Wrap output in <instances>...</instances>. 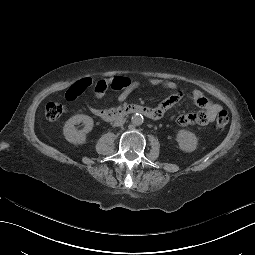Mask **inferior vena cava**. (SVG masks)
<instances>
[{
	"instance_id": "inferior-vena-cava-1",
	"label": "inferior vena cava",
	"mask_w": 255,
	"mask_h": 255,
	"mask_svg": "<svg viewBox=\"0 0 255 255\" xmlns=\"http://www.w3.org/2000/svg\"><path fill=\"white\" fill-rule=\"evenodd\" d=\"M126 119L123 117H118L114 120L113 122V126L118 127V126H122L125 123Z\"/></svg>"
}]
</instances>
